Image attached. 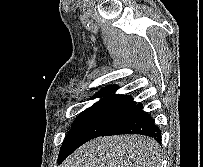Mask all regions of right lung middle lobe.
<instances>
[{
  "instance_id": "obj_1",
  "label": "right lung middle lobe",
  "mask_w": 203,
  "mask_h": 167,
  "mask_svg": "<svg viewBox=\"0 0 203 167\" xmlns=\"http://www.w3.org/2000/svg\"><path fill=\"white\" fill-rule=\"evenodd\" d=\"M132 107L105 102L95 103L78 115L62 146L72 153L85 142L105 133Z\"/></svg>"
}]
</instances>
